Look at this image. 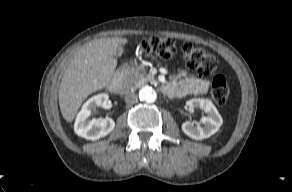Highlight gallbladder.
<instances>
[{
	"label": "gallbladder",
	"instance_id": "bac80fb5",
	"mask_svg": "<svg viewBox=\"0 0 292 192\" xmlns=\"http://www.w3.org/2000/svg\"><path fill=\"white\" fill-rule=\"evenodd\" d=\"M123 53V48L121 46H118L114 49L113 54L117 57L121 56Z\"/></svg>",
	"mask_w": 292,
	"mask_h": 192
}]
</instances>
